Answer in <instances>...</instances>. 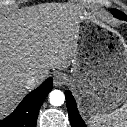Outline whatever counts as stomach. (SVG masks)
I'll use <instances>...</instances> for the list:
<instances>
[{
	"instance_id": "obj_1",
	"label": "stomach",
	"mask_w": 127,
	"mask_h": 127,
	"mask_svg": "<svg viewBox=\"0 0 127 127\" xmlns=\"http://www.w3.org/2000/svg\"><path fill=\"white\" fill-rule=\"evenodd\" d=\"M70 86L89 115L117 108L127 99V52L111 50L90 26H79Z\"/></svg>"
}]
</instances>
